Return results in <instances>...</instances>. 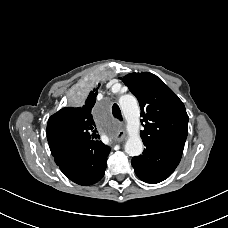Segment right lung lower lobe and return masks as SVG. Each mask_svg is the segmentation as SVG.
Segmentation results:
<instances>
[{"label": "right lung lower lobe", "mask_w": 228, "mask_h": 228, "mask_svg": "<svg viewBox=\"0 0 228 228\" xmlns=\"http://www.w3.org/2000/svg\"><path fill=\"white\" fill-rule=\"evenodd\" d=\"M61 171L79 185H91L104 175L110 148L101 141H82L50 146Z\"/></svg>", "instance_id": "right-lung-lower-lobe-1"}]
</instances>
